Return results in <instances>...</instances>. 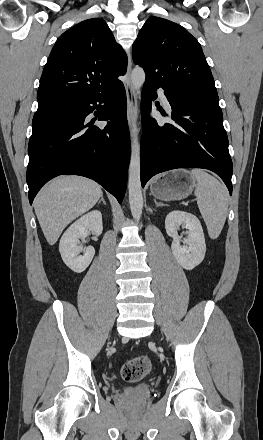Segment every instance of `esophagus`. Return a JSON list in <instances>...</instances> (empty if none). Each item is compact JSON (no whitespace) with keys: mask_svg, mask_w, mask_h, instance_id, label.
Masks as SVG:
<instances>
[{"mask_svg":"<svg viewBox=\"0 0 263 440\" xmlns=\"http://www.w3.org/2000/svg\"><path fill=\"white\" fill-rule=\"evenodd\" d=\"M131 70H132V60H131V55H129L127 72H126L125 90L127 97V121L130 130L132 129V125L136 114V108H137V98L134 91V87L131 82Z\"/></svg>","mask_w":263,"mask_h":440,"instance_id":"1","label":"esophagus"}]
</instances>
